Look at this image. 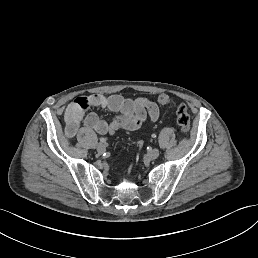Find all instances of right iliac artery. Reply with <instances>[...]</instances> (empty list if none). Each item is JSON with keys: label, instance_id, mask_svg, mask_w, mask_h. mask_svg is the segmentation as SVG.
<instances>
[{"label": "right iliac artery", "instance_id": "right-iliac-artery-1", "mask_svg": "<svg viewBox=\"0 0 258 258\" xmlns=\"http://www.w3.org/2000/svg\"><path fill=\"white\" fill-rule=\"evenodd\" d=\"M99 140H100V142H102V143H104V142H106V139L105 138H99Z\"/></svg>", "mask_w": 258, "mask_h": 258}]
</instances>
